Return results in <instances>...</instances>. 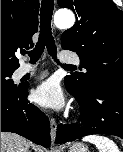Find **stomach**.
I'll return each instance as SVG.
<instances>
[{
  "label": "stomach",
  "instance_id": "obj_1",
  "mask_svg": "<svg viewBox=\"0 0 123 152\" xmlns=\"http://www.w3.org/2000/svg\"><path fill=\"white\" fill-rule=\"evenodd\" d=\"M68 152H89V150L83 143L75 142L69 147Z\"/></svg>",
  "mask_w": 123,
  "mask_h": 152
}]
</instances>
